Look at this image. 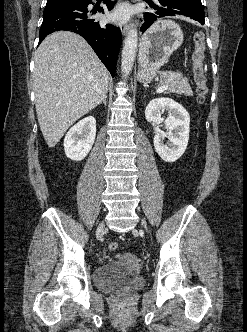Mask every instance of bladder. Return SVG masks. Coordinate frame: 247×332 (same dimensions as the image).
Returning <instances> with one entry per match:
<instances>
[{
  "instance_id": "1",
  "label": "bladder",
  "mask_w": 247,
  "mask_h": 332,
  "mask_svg": "<svg viewBox=\"0 0 247 332\" xmlns=\"http://www.w3.org/2000/svg\"><path fill=\"white\" fill-rule=\"evenodd\" d=\"M95 286L107 292L133 291L144 285L143 275L136 269V259L123 253L99 265L93 275Z\"/></svg>"
}]
</instances>
